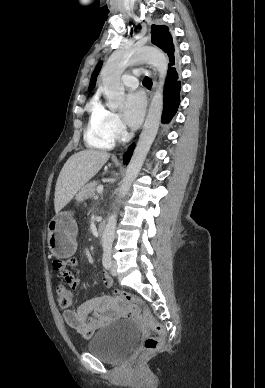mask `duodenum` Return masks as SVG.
Listing matches in <instances>:
<instances>
[{"mask_svg": "<svg viewBox=\"0 0 265 388\" xmlns=\"http://www.w3.org/2000/svg\"><path fill=\"white\" fill-rule=\"evenodd\" d=\"M106 226H107V221L106 220H102L100 223H99V226H98V233L99 235H103L105 230H106Z\"/></svg>", "mask_w": 265, "mask_h": 388, "instance_id": "1", "label": "duodenum"}]
</instances>
